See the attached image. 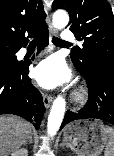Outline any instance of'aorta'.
Wrapping results in <instances>:
<instances>
[{
	"mask_svg": "<svg viewBox=\"0 0 114 156\" xmlns=\"http://www.w3.org/2000/svg\"><path fill=\"white\" fill-rule=\"evenodd\" d=\"M69 22V16L64 10H57L53 14V25L57 29H63ZM66 101L62 96H58L52 105L48 116L47 131L50 136H54L59 130L65 114Z\"/></svg>",
	"mask_w": 114,
	"mask_h": 156,
	"instance_id": "1",
	"label": "aorta"
}]
</instances>
